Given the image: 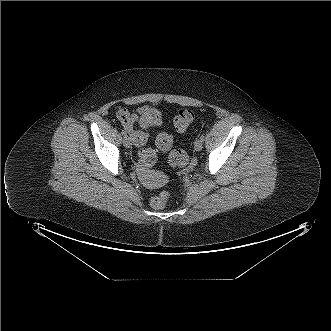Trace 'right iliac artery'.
<instances>
[{"instance_id": "obj_1", "label": "right iliac artery", "mask_w": 331, "mask_h": 331, "mask_svg": "<svg viewBox=\"0 0 331 331\" xmlns=\"http://www.w3.org/2000/svg\"><path fill=\"white\" fill-rule=\"evenodd\" d=\"M121 134L125 137L127 136L126 132L124 130L121 131Z\"/></svg>"}]
</instances>
